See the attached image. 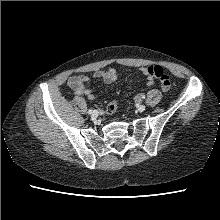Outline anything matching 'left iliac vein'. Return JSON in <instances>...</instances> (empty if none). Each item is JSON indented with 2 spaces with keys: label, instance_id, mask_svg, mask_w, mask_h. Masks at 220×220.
Wrapping results in <instances>:
<instances>
[{
  "label": "left iliac vein",
  "instance_id": "4c4485c4",
  "mask_svg": "<svg viewBox=\"0 0 220 220\" xmlns=\"http://www.w3.org/2000/svg\"><path fill=\"white\" fill-rule=\"evenodd\" d=\"M137 109H138L139 112H143L146 109V107H145V105L140 104V105L137 106Z\"/></svg>",
  "mask_w": 220,
  "mask_h": 220
}]
</instances>
